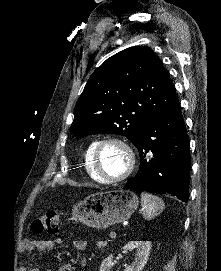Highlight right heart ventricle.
<instances>
[{
  "label": "right heart ventricle",
  "instance_id": "obj_1",
  "mask_svg": "<svg viewBox=\"0 0 221 271\" xmlns=\"http://www.w3.org/2000/svg\"><path fill=\"white\" fill-rule=\"evenodd\" d=\"M94 139H90L84 148V159H86V168L85 171L89 172V176L91 179H97V183H108V178H103V174H99L98 171H96L95 167H99V162H97V158H95V155L93 152L96 149V144H91Z\"/></svg>",
  "mask_w": 221,
  "mask_h": 271
}]
</instances>
